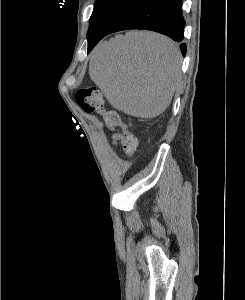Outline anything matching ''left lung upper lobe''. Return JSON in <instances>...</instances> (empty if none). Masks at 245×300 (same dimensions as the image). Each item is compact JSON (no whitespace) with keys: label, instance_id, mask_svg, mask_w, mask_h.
Segmentation results:
<instances>
[{"label":"left lung upper lobe","instance_id":"1","mask_svg":"<svg viewBox=\"0 0 245 300\" xmlns=\"http://www.w3.org/2000/svg\"><path fill=\"white\" fill-rule=\"evenodd\" d=\"M139 0H96L87 37L94 31L105 33L110 26Z\"/></svg>","mask_w":245,"mask_h":300}]
</instances>
